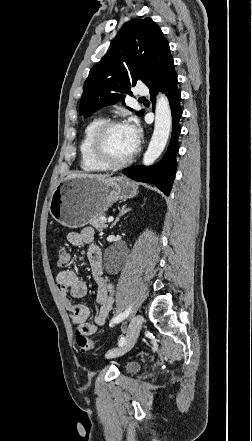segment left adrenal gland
<instances>
[{
	"label": "left adrenal gland",
	"mask_w": 252,
	"mask_h": 441,
	"mask_svg": "<svg viewBox=\"0 0 252 441\" xmlns=\"http://www.w3.org/2000/svg\"><path fill=\"white\" fill-rule=\"evenodd\" d=\"M126 206H127V205H124V206L121 208L118 217L115 219L114 223L110 226V229H112V228H113V227L119 222L120 218H121L123 215H125L126 213H128V212L131 210V208H126Z\"/></svg>",
	"instance_id": "a2214340"
}]
</instances>
